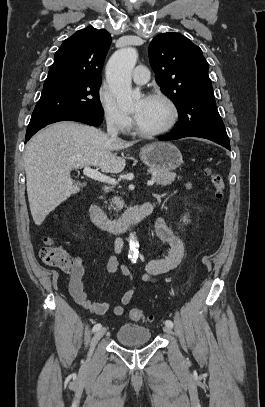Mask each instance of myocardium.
<instances>
[{
  "mask_svg": "<svg viewBox=\"0 0 265 407\" xmlns=\"http://www.w3.org/2000/svg\"><path fill=\"white\" fill-rule=\"evenodd\" d=\"M145 99L160 100V101L164 102L169 107L170 119L164 127L160 128L158 130H153V131H146V130L140 129L137 126L135 119H133V123H132L133 131L137 135H139L141 137H145V138L159 137V136L169 133L175 127V125L177 124L178 119H179V109H178L177 104L174 102V100L171 97H169L168 95L161 93V92L151 93L148 96H146Z\"/></svg>",
  "mask_w": 265,
  "mask_h": 407,
  "instance_id": "f54148a6",
  "label": "myocardium"
}]
</instances>
